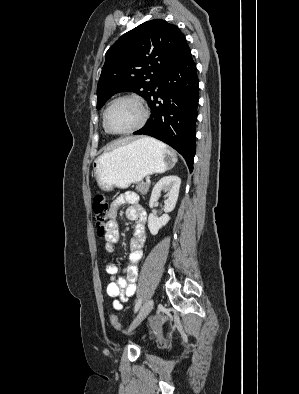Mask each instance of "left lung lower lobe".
Listing matches in <instances>:
<instances>
[{
  "label": "left lung lower lobe",
  "instance_id": "1",
  "mask_svg": "<svg viewBox=\"0 0 299 394\" xmlns=\"http://www.w3.org/2000/svg\"><path fill=\"white\" fill-rule=\"evenodd\" d=\"M196 65L188 45L162 73L148 102L151 116L134 134L155 137L177 150L190 172L195 156L198 106Z\"/></svg>",
  "mask_w": 299,
  "mask_h": 394
}]
</instances>
